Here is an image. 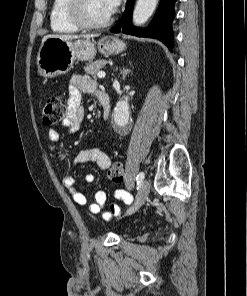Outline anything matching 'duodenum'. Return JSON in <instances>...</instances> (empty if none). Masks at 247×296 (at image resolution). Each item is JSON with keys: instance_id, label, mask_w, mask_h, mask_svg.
<instances>
[{"instance_id": "obj_1", "label": "duodenum", "mask_w": 247, "mask_h": 296, "mask_svg": "<svg viewBox=\"0 0 247 296\" xmlns=\"http://www.w3.org/2000/svg\"><path fill=\"white\" fill-rule=\"evenodd\" d=\"M97 97L103 107L104 118L106 119L109 116V112L111 108L110 97L105 91H102V90H99L97 92Z\"/></svg>"}]
</instances>
